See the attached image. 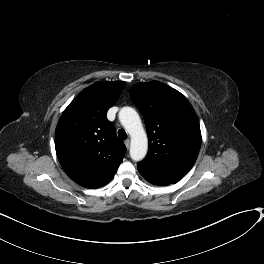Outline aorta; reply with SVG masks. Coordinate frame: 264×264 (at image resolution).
<instances>
[{
	"label": "aorta",
	"mask_w": 264,
	"mask_h": 264,
	"mask_svg": "<svg viewBox=\"0 0 264 264\" xmlns=\"http://www.w3.org/2000/svg\"><path fill=\"white\" fill-rule=\"evenodd\" d=\"M119 120L131 136V158L142 160L147 154L148 139L138 113L131 107H123L119 111Z\"/></svg>",
	"instance_id": "aorta-1"
}]
</instances>
